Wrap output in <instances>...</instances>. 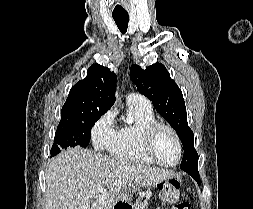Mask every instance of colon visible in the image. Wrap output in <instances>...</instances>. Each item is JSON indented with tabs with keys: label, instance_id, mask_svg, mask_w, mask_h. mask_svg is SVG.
Returning a JSON list of instances; mask_svg holds the SVG:
<instances>
[{
	"label": "colon",
	"instance_id": "colon-1",
	"mask_svg": "<svg viewBox=\"0 0 253 209\" xmlns=\"http://www.w3.org/2000/svg\"><path fill=\"white\" fill-rule=\"evenodd\" d=\"M180 183L178 180H170L167 183V188H164V194L171 198L172 196H175L179 191ZM175 209H191L190 204L187 201H181L176 206Z\"/></svg>",
	"mask_w": 253,
	"mask_h": 209
}]
</instances>
